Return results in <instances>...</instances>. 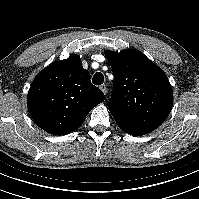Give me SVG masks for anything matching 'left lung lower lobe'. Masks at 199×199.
<instances>
[{
  "instance_id": "obj_1",
  "label": "left lung lower lobe",
  "mask_w": 199,
  "mask_h": 199,
  "mask_svg": "<svg viewBox=\"0 0 199 199\" xmlns=\"http://www.w3.org/2000/svg\"><path fill=\"white\" fill-rule=\"evenodd\" d=\"M126 132V131H125ZM127 133H129V134H131V135H134V136H140V135H138V134H134V133H130V132H127Z\"/></svg>"
}]
</instances>
